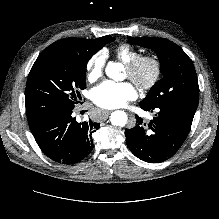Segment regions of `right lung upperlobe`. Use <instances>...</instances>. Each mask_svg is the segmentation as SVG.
<instances>
[{
    "mask_svg": "<svg viewBox=\"0 0 219 219\" xmlns=\"http://www.w3.org/2000/svg\"><path fill=\"white\" fill-rule=\"evenodd\" d=\"M63 40H65L66 42L72 43V44H80V45L86 46V47L91 48L97 52L103 46H105L107 43L111 42L112 37L111 36H103V37H100L97 39L66 38Z\"/></svg>",
    "mask_w": 219,
    "mask_h": 219,
    "instance_id": "right-lung-upper-lobe-1",
    "label": "right lung upper lobe"
}]
</instances>
